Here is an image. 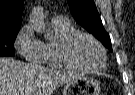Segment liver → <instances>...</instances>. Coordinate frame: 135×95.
<instances>
[{"label":"liver","mask_w":135,"mask_h":95,"mask_svg":"<svg viewBox=\"0 0 135 95\" xmlns=\"http://www.w3.org/2000/svg\"><path fill=\"white\" fill-rule=\"evenodd\" d=\"M81 74L56 71L37 64H25L0 58V95H51L59 86Z\"/></svg>","instance_id":"6515ba94"}]
</instances>
